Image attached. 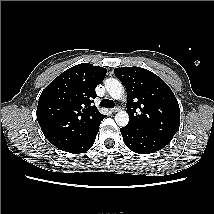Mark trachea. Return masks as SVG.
Segmentation results:
<instances>
[{
    "mask_svg": "<svg viewBox=\"0 0 214 214\" xmlns=\"http://www.w3.org/2000/svg\"><path fill=\"white\" fill-rule=\"evenodd\" d=\"M101 107L113 108L115 103L109 99H103L100 103Z\"/></svg>",
    "mask_w": 214,
    "mask_h": 214,
    "instance_id": "3493384b",
    "label": "trachea"
}]
</instances>
